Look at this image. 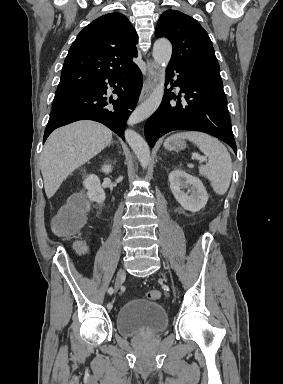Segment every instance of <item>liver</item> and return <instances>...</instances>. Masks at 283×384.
<instances>
[{
  "mask_svg": "<svg viewBox=\"0 0 283 384\" xmlns=\"http://www.w3.org/2000/svg\"><path fill=\"white\" fill-rule=\"evenodd\" d=\"M110 142L111 130L89 120L74 122L52 132L40 160L47 198H52L74 170L100 154Z\"/></svg>",
  "mask_w": 283,
  "mask_h": 384,
  "instance_id": "1",
  "label": "liver"
}]
</instances>
